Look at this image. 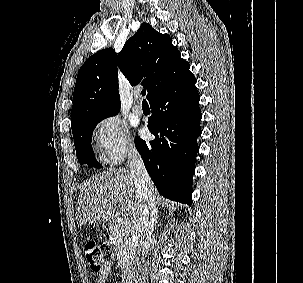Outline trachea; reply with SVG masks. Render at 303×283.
I'll list each match as a JSON object with an SVG mask.
<instances>
[{"label": "trachea", "instance_id": "obj_1", "mask_svg": "<svg viewBox=\"0 0 303 283\" xmlns=\"http://www.w3.org/2000/svg\"><path fill=\"white\" fill-rule=\"evenodd\" d=\"M141 94H142V96H145L146 90H142Z\"/></svg>", "mask_w": 303, "mask_h": 283}]
</instances>
